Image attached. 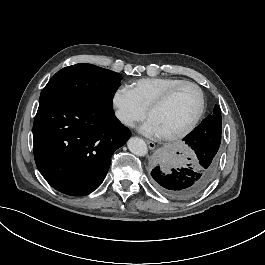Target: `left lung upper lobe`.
<instances>
[{"mask_svg":"<svg viewBox=\"0 0 265 265\" xmlns=\"http://www.w3.org/2000/svg\"><path fill=\"white\" fill-rule=\"evenodd\" d=\"M202 129L206 135L221 136L222 132V117L219 106H215L213 113L205 118L202 123L197 127Z\"/></svg>","mask_w":265,"mask_h":265,"instance_id":"obj_1","label":"left lung upper lobe"}]
</instances>
